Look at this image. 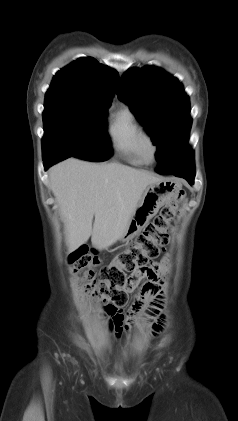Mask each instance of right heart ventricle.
Returning <instances> with one entry per match:
<instances>
[{"label": "right heart ventricle", "mask_w": 238, "mask_h": 421, "mask_svg": "<svg viewBox=\"0 0 238 421\" xmlns=\"http://www.w3.org/2000/svg\"><path fill=\"white\" fill-rule=\"evenodd\" d=\"M143 132L136 115L128 107L117 110L108 126V135L115 149L135 165L148 162L140 147Z\"/></svg>", "instance_id": "right-heart-ventricle-1"}]
</instances>
